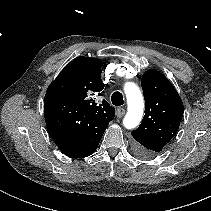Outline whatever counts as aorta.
Wrapping results in <instances>:
<instances>
[{
  "instance_id": "obj_1",
  "label": "aorta",
  "mask_w": 211,
  "mask_h": 211,
  "mask_svg": "<svg viewBox=\"0 0 211 211\" xmlns=\"http://www.w3.org/2000/svg\"><path fill=\"white\" fill-rule=\"evenodd\" d=\"M124 91L127 98L128 111L123 119V125L127 129H132L137 127L142 119L144 100L140 89L134 83H126Z\"/></svg>"
}]
</instances>
